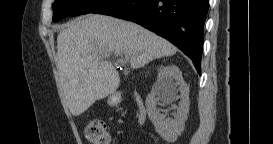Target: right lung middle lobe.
Returning a JSON list of instances; mask_svg holds the SVG:
<instances>
[{
    "mask_svg": "<svg viewBox=\"0 0 273 144\" xmlns=\"http://www.w3.org/2000/svg\"><path fill=\"white\" fill-rule=\"evenodd\" d=\"M109 0H56L53 5V21L62 18L91 13Z\"/></svg>",
    "mask_w": 273,
    "mask_h": 144,
    "instance_id": "obj_1",
    "label": "right lung middle lobe"
}]
</instances>
